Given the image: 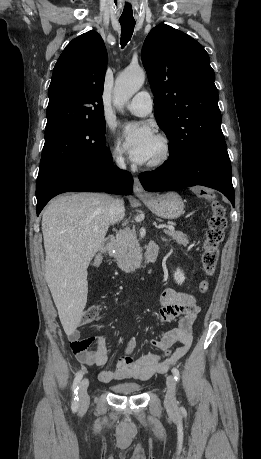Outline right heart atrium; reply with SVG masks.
Here are the masks:
<instances>
[{"mask_svg":"<svg viewBox=\"0 0 261 459\" xmlns=\"http://www.w3.org/2000/svg\"><path fill=\"white\" fill-rule=\"evenodd\" d=\"M111 155L113 158L114 163L119 168H124L126 165V158L123 154V151L119 144H115L111 149Z\"/></svg>","mask_w":261,"mask_h":459,"instance_id":"1","label":"right heart atrium"}]
</instances>
